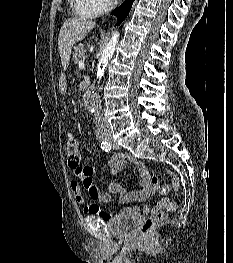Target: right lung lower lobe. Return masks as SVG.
<instances>
[{
  "label": "right lung lower lobe",
  "instance_id": "98d812e1",
  "mask_svg": "<svg viewBox=\"0 0 233 263\" xmlns=\"http://www.w3.org/2000/svg\"><path fill=\"white\" fill-rule=\"evenodd\" d=\"M133 2L134 0H125L119 8H116L112 12V14L117 15L118 17L117 25H120V23L126 18L131 10Z\"/></svg>",
  "mask_w": 233,
  "mask_h": 263
}]
</instances>
